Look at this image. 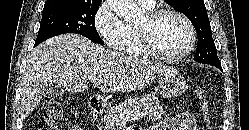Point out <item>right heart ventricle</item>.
<instances>
[{
	"mask_svg": "<svg viewBox=\"0 0 249 130\" xmlns=\"http://www.w3.org/2000/svg\"><path fill=\"white\" fill-rule=\"evenodd\" d=\"M125 25H126V32L120 50H122L123 52L127 53L130 56H135V57L144 56L145 53L140 42L138 28L132 25H127V24Z\"/></svg>",
	"mask_w": 249,
	"mask_h": 130,
	"instance_id": "obj_1",
	"label": "right heart ventricle"
}]
</instances>
